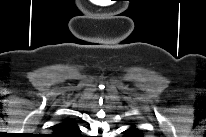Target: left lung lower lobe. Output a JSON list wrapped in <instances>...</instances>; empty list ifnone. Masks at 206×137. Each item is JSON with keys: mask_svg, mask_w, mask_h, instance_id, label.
I'll list each match as a JSON object with an SVG mask.
<instances>
[{"mask_svg": "<svg viewBox=\"0 0 206 137\" xmlns=\"http://www.w3.org/2000/svg\"><path fill=\"white\" fill-rule=\"evenodd\" d=\"M139 134L140 133H139L138 129L135 127H131L125 132L126 137H138Z\"/></svg>", "mask_w": 206, "mask_h": 137, "instance_id": "obj_1", "label": "left lung lower lobe"}]
</instances>
